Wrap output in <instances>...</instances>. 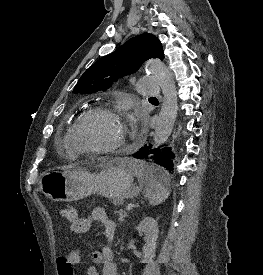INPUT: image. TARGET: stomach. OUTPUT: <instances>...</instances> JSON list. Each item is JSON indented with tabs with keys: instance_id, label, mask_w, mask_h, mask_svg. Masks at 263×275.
Returning <instances> with one entry per match:
<instances>
[{
	"instance_id": "1",
	"label": "stomach",
	"mask_w": 263,
	"mask_h": 275,
	"mask_svg": "<svg viewBox=\"0 0 263 275\" xmlns=\"http://www.w3.org/2000/svg\"><path fill=\"white\" fill-rule=\"evenodd\" d=\"M39 189L53 201L70 202L98 194L116 205L125 198L136 197L141 191L133 183V173L126 161H121L117 166L107 164L94 173L81 168L47 171L40 178Z\"/></svg>"
}]
</instances>
